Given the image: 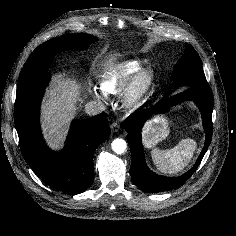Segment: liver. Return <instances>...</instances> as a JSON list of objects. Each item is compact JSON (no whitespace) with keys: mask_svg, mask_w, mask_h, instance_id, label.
<instances>
[{"mask_svg":"<svg viewBox=\"0 0 236 236\" xmlns=\"http://www.w3.org/2000/svg\"><path fill=\"white\" fill-rule=\"evenodd\" d=\"M114 54L102 65L104 70L113 72L116 69ZM82 87L78 82L62 75L56 76L50 86L42 109L43 130L45 139L53 149L61 147L66 129L77 111Z\"/></svg>","mask_w":236,"mask_h":236,"instance_id":"1","label":"liver"}]
</instances>
